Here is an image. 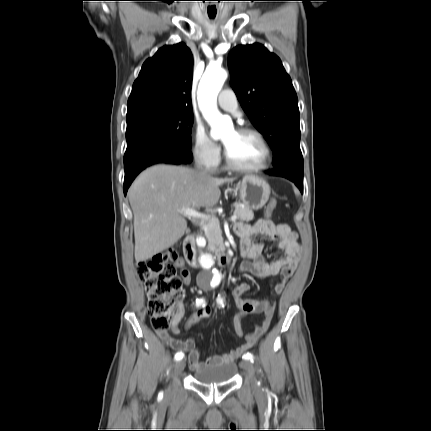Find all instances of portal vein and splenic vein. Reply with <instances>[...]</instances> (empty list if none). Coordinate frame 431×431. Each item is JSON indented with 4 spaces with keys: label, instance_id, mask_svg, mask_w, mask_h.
Here are the masks:
<instances>
[{
    "label": "portal vein and splenic vein",
    "instance_id": "1",
    "mask_svg": "<svg viewBox=\"0 0 431 431\" xmlns=\"http://www.w3.org/2000/svg\"><path fill=\"white\" fill-rule=\"evenodd\" d=\"M184 216H188L191 218H195V219H201V220H212V221H216V218L214 217H210L206 214H202L194 209L188 208V209H183L180 211ZM237 216L234 214L231 216L230 220L232 222L236 221Z\"/></svg>",
    "mask_w": 431,
    "mask_h": 431
}]
</instances>
